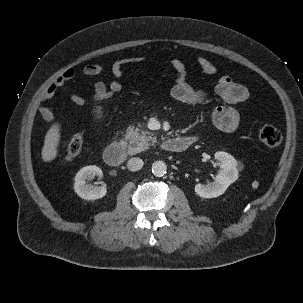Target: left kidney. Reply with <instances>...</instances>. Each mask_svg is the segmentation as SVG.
<instances>
[{"mask_svg":"<svg viewBox=\"0 0 303 303\" xmlns=\"http://www.w3.org/2000/svg\"><path fill=\"white\" fill-rule=\"evenodd\" d=\"M214 156L220 162L221 167L219 174L215 177V181L207 185H195L196 194L203 198H215L222 195L238 179V164L232 155L219 151Z\"/></svg>","mask_w":303,"mask_h":303,"instance_id":"1","label":"left kidney"}]
</instances>
